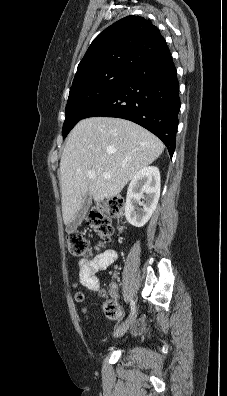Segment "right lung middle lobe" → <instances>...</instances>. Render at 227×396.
I'll use <instances>...</instances> for the list:
<instances>
[{
  "instance_id": "right-lung-middle-lobe-1",
  "label": "right lung middle lobe",
  "mask_w": 227,
  "mask_h": 396,
  "mask_svg": "<svg viewBox=\"0 0 227 396\" xmlns=\"http://www.w3.org/2000/svg\"><path fill=\"white\" fill-rule=\"evenodd\" d=\"M131 71L120 68L108 69L72 85L65 110L63 138L94 106L109 96Z\"/></svg>"
}]
</instances>
